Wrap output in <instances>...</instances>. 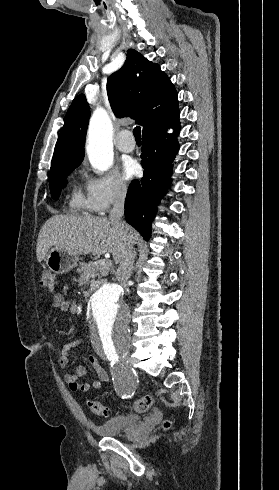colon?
<instances>
[{
	"mask_svg": "<svg viewBox=\"0 0 279 490\" xmlns=\"http://www.w3.org/2000/svg\"><path fill=\"white\" fill-rule=\"evenodd\" d=\"M40 284L43 288L55 289L56 287V276L50 270H44L40 276ZM153 404V399L150 396H144L137 399L132 407L131 411L134 413H143L150 409ZM88 408L91 413L99 416H106L108 411L107 408L100 401H90L88 403ZM170 423L167 421L165 423L166 427H169Z\"/></svg>",
	"mask_w": 279,
	"mask_h": 490,
	"instance_id": "5ec220e1",
	"label": "colon"
}]
</instances>
